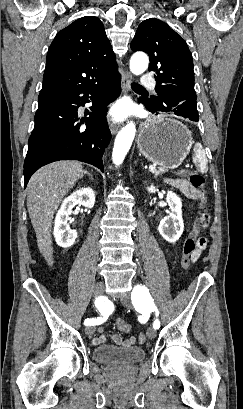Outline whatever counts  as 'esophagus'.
I'll return each instance as SVG.
<instances>
[{"mask_svg":"<svg viewBox=\"0 0 243 409\" xmlns=\"http://www.w3.org/2000/svg\"><path fill=\"white\" fill-rule=\"evenodd\" d=\"M132 81V75L130 72H125L122 76V83H121V87H122V93L126 94L129 89H130V84ZM120 129V125L112 122L110 124V131L112 134H116L118 132V130Z\"/></svg>","mask_w":243,"mask_h":409,"instance_id":"1","label":"esophagus"}]
</instances>
